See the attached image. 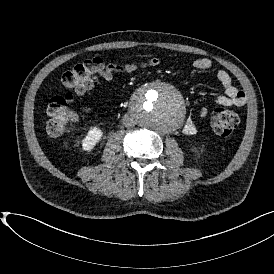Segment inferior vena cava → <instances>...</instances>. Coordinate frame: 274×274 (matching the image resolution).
Returning a JSON list of instances; mask_svg holds the SVG:
<instances>
[{"instance_id": "602c4592", "label": "inferior vena cava", "mask_w": 274, "mask_h": 274, "mask_svg": "<svg viewBox=\"0 0 274 274\" xmlns=\"http://www.w3.org/2000/svg\"><path fill=\"white\" fill-rule=\"evenodd\" d=\"M123 123L128 127L132 125L131 121H129L127 118H123Z\"/></svg>"}]
</instances>
